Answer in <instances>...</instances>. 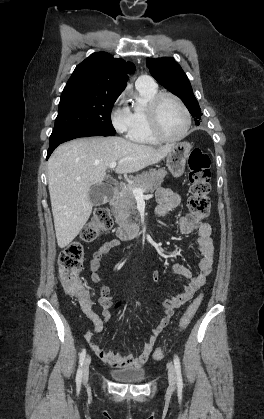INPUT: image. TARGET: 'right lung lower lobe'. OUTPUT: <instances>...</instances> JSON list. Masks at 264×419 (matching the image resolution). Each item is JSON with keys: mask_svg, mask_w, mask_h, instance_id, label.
<instances>
[{"mask_svg": "<svg viewBox=\"0 0 264 419\" xmlns=\"http://www.w3.org/2000/svg\"><path fill=\"white\" fill-rule=\"evenodd\" d=\"M115 134H108V133H104V132H96V131H83V132H78L72 135H69L67 137H65L64 139H62L61 141L51 144L48 152H47V159L49 158V156L51 155V153L54 151V149L61 143L75 139V138H79V137H90V136H114Z\"/></svg>", "mask_w": 264, "mask_h": 419, "instance_id": "98d812e1", "label": "right lung lower lobe"}]
</instances>
